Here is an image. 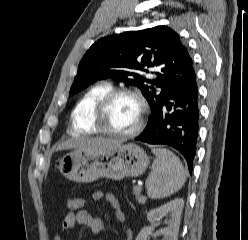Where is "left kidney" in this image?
<instances>
[{"instance_id": "left-kidney-1", "label": "left kidney", "mask_w": 248, "mask_h": 240, "mask_svg": "<svg viewBox=\"0 0 248 240\" xmlns=\"http://www.w3.org/2000/svg\"><path fill=\"white\" fill-rule=\"evenodd\" d=\"M183 207L184 200L176 198L159 208L150 210L147 213V219L151 223V226L144 227L136 240H147L153 230V226L165 216H169L170 218L166 221L167 227L160 230V234L163 235L162 240H177Z\"/></svg>"}]
</instances>
